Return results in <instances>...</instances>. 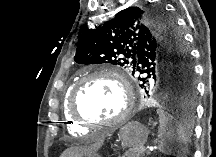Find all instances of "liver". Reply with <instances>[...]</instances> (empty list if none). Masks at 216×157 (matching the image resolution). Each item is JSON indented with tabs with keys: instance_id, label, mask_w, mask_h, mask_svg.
<instances>
[{
	"instance_id": "6515ba94",
	"label": "liver",
	"mask_w": 216,
	"mask_h": 157,
	"mask_svg": "<svg viewBox=\"0 0 216 157\" xmlns=\"http://www.w3.org/2000/svg\"><path fill=\"white\" fill-rule=\"evenodd\" d=\"M103 141V137H97L92 145L67 149L62 153L61 157L91 156L102 146Z\"/></svg>"
}]
</instances>
